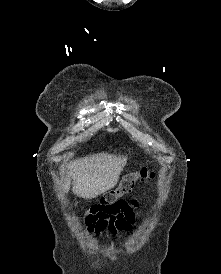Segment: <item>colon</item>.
<instances>
[{
    "mask_svg": "<svg viewBox=\"0 0 221 274\" xmlns=\"http://www.w3.org/2000/svg\"><path fill=\"white\" fill-rule=\"evenodd\" d=\"M153 174L146 168H142L141 170L133 173H129L125 175L121 181L119 186L115 189L107 193L103 200L102 204H112L125 194L130 193L135 187L137 182H144L148 179H151Z\"/></svg>",
    "mask_w": 221,
    "mask_h": 274,
    "instance_id": "1",
    "label": "colon"
}]
</instances>
